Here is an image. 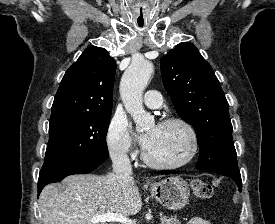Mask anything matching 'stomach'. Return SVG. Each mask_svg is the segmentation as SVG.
<instances>
[{
  "instance_id": "1",
  "label": "stomach",
  "mask_w": 275,
  "mask_h": 224,
  "mask_svg": "<svg viewBox=\"0 0 275 224\" xmlns=\"http://www.w3.org/2000/svg\"><path fill=\"white\" fill-rule=\"evenodd\" d=\"M149 191L162 206L174 211L185 207L190 195L188 183L177 176L152 183Z\"/></svg>"
}]
</instances>
